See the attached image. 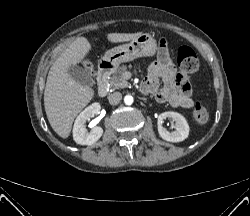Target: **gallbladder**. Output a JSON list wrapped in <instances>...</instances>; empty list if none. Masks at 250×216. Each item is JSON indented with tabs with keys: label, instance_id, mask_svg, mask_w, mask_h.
I'll list each match as a JSON object with an SVG mask.
<instances>
[{
	"label": "gallbladder",
	"instance_id": "1",
	"mask_svg": "<svg viewBox=\"0 0 250 216\" xmlns=\"http://www.w3.org/2000/svg\"><path fill=\"white\" fill-rule=\"evenodd\" d=\"M69 73L77 83L83 86H92L94 84L91 75L82 67L72 66L69 68Z\"/></svg>",
	"mask_w": 250,
	"mask_h": 216
}]
</instances>
